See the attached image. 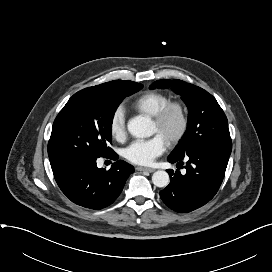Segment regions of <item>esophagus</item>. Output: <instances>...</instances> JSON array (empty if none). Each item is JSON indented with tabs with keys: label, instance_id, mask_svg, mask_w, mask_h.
Listing matches in <instances>:
<instances>
[{
	"label": "esophagus",
	"instance_id": "esophagus-1",
	"mask_svg": "<svg viewBox=\"0 0 272 272\" xmlns=\"http://www.w3.org/2000/svg\"><path fill=\"white\" fill-rule=\"evenodd\" d=\"M136 170L138 171H146V172H154L155 170L153 168H148V167H136Z\"/></svg>",
	"mask_w": 272,
	"mask_h": 272
}]
</instances>
